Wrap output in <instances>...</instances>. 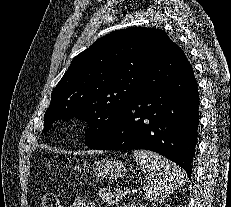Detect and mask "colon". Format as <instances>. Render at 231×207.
<instances>
[{
  "mask_svg": "<svg viewBox=\"0 0 231 207\" xmlns=\"http://www.w3.org/2000/svg\"><path fill=\"white\" fill-rule=\"evenodd\" d=\"M41 207H59V200L55 193H46L41 197Z\"/></svg>",
  "mask_w": 231,
  "mask_h": 207,
  "instance_id": "colon-1",
  "label": "colon"
}]
</instances>
